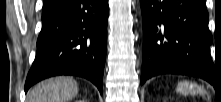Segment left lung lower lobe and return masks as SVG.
Masks as SVG:
<instances>
[{
  "label": "left lung lower lobe",
  "mask_w": 221,
  "mask_h": 102,
  "mask_svg": "<svg viewBox=\"0 0 221 102\" xmlns=\"http://www.w3.org/2000/svg\"><path fill=\"white\" fill-rule=\"evenodd\" d=\"M143 22L141 84L159 74L214 82L212 35L204 0H140Z\"/></svg>",
  "instance_id": "obj_1"
}]
</instances>
